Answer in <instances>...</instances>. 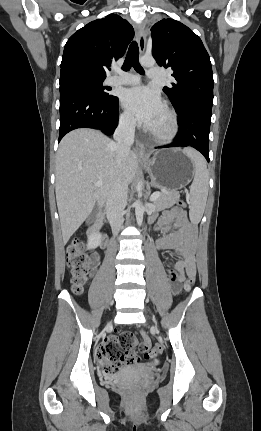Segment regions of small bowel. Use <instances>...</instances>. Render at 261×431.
Returning <instances> with one entry per match:
<instances>
[{
	"label": "small bowel",
	"mask_w": 261,
	"mask_h": 431,
	"mask_svg": "<svg viewBox=\"0 0 261 431\" xmlns=\"http://www.w3.org/2000/svg\"><path fill=\"white\" fill-rule=\"evenodd\" d=\"M156 229L164 236L157 240L159 249L178 248L177 261L168 269V275L173 292H177L180 283L189 275H195V236L196 229L188 220L186 213L179 207H174L163 213L156 221ZM100 262L98 254L93 253L90 267L95 269ZM153 343L145 337L140 349L141 355H146Z\"/></svg>",
	"instance_id": "small-bowel-1"
}]
</instances>
